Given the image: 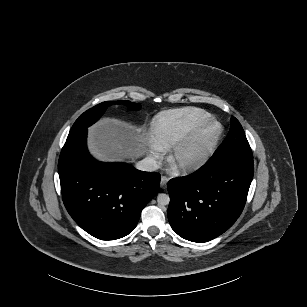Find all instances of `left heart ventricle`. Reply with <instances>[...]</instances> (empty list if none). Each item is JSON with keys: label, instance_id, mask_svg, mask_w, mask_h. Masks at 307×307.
<instances>
[{"label": "left heart ventricle", "instance_id": "obj_1", "mask_svg": "<svg viewBox=\"0 0 307 307\" xmlns=\"http://www.w3.org/2000/svg\"><path fill=\"white\" fill-rule=\"evenodd\" d=\"M221 131V127L219 125H215L211 128L207 136L203 140V145L209 142L213 137H215ZM198 154V150L194 151L190 157H195Z\"/></svg>", "mask_w": 307, "mask_h": 307}]
</instances>
